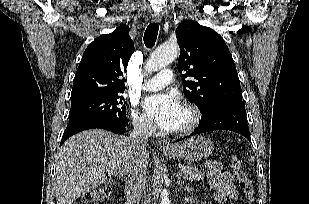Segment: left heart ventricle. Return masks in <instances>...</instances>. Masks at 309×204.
Masks as SVG:
<instances>
[{
  "label": "left heart ventricle",
  "instance_id": "b2bd125f",
  "mask_svg": "<svg viewBox=\"0 0 309 204\" xmlns=\"http://www.w3.org/2000/svg\"><path fill=\"white\" fill-rule=\"evenodd\" d=\"M189 121V114L185 109H181L180 115L178 117L176 129L184 126Z\"/></svg>",
  "mask_w": 309,
  "mask_h": 204
}]
</instances>
